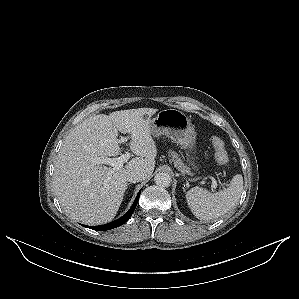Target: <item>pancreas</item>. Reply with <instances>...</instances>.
Masks as SVG:
<instances>
[{
  "instance_id": "pancreas-1",
  "label": "pancreas",
  "mask_w": 299,
  "mask_h": 299,
  "mask_svg": "<svg viewBox=\"0 0 299 299\" xmlns=\"http://www.w3.org/2000/svg\"><path fill=\"white\" fill-rule=\"evenodd\" d=\"M170 156L174 161L175 167L183 174L189 173L188 167L182 162V160L178 157V154L174 151L170 152Z\"/></svg>"
}]
</instances>
